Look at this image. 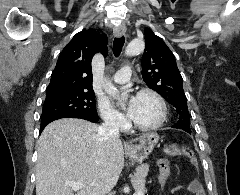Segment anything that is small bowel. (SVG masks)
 I'll return each instance as SVG.
<instances>
[{
    "instance_id": "c3829d8e",
    "label": "small bowel",
    "mask_w": 240,
    "mask_h": 195,
    "mask_svg": "<svg viewBox=\"0 0 240 195\" xmlns=\"http://www.w3.org/2000/svg\"><path fill=\"white\" fill-rule=\"evenodd\" d=\"M180 189H181L180 186H176V187H174V188L171 189V193H172V194H176ZM204 195H205V193H204Z\"/></svg>"
}]
</instances>
